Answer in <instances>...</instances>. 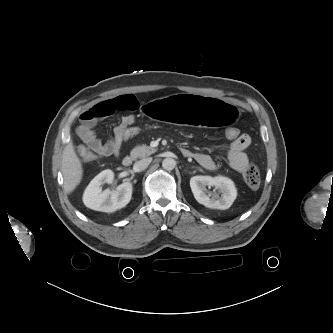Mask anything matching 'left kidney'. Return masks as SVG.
I'll use <instances>...</instances> for the list:
<instances>
[{"label":"left kidney","instance_id":"left-kidney-1","mask_svg":"<svg viewBox=\"0 0 333 333\" xmlns=\"http://www.w3.org/2000/svg\"><path fill=\"white\" fill-rule=\"evenodd\" d=\"M190 187L197 202L211 209H228L237 196L233 181L223 176H194L190 180ZM206 187H215L221 196Z\"/></svg>","mask_w":333,"mask_h":333}]
</instances>
